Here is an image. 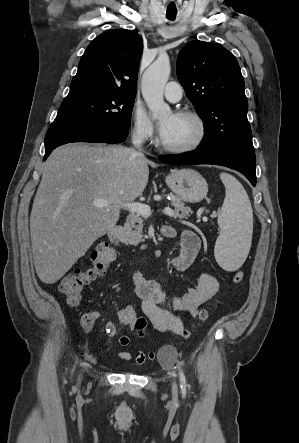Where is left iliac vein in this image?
<instances>
[{"label":"left iliac vein","instance_id":"left-iliac-vein-1","mask_svg":"<svg viewBox=\"0 0 299 443\" xmlns=\"http://www.w3.org/2000/svg\"><path fill=\"white\" fill-rule=\"evenodd\" d=\"M172 389H173L174 395H176V393H177V385H176L175 381H173V383H172Z\"/></svg>","mask_w":299,"mask_h":443}]
</instances>
